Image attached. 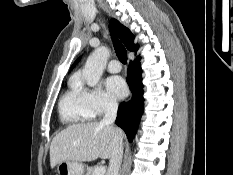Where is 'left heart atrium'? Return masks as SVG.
Instances as JSON below:
<instances>
[{"label":"left heart atrium","mask_w":233,"mask_h":175,"mask_svg":"<svg viewBox=\"0 0 233 175\" xmlns=\"http://www.w3.org/2000/svg\"><path fill=\"white\" fill-rule=\"evenodd\" d=\"M106 85L109 92L118 98H124L128 93L127 86L124 80L120 77L113 76L108 78Z\"/></svg>","instance_id":"1"}]
</instances>
